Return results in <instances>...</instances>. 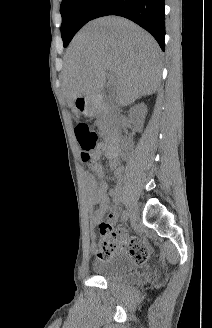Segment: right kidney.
Instances as JSON below:
<instances>
[{
	"label": "right kidney",
	"mask_w": 212,
	"mask_h": 328,
	"mask_svg": "<svg viewBox=\"0 0 212 328\" xmlns=\"http://www.w3.org/2000/svg\"><path fill=\"white\" fill-rule=\"evenodd\" d=\"M147 113V106L144 103L136 105L130 112V121L138 131H141Z\"/></svg>",
	"instance_id": "ca27d5eb"
}]
</instances>
